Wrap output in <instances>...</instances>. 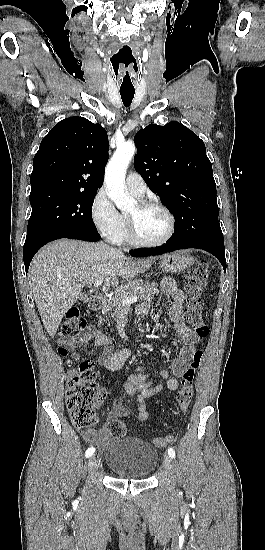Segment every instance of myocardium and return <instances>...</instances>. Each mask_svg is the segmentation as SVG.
Segmentation results:
<instances>
[{
    "label": "myocardium",
    "mask_w": 265,
    "mask_h": 550,
    "mask_svg": "<svg viewBox=\"0 0 265 550\" xmlns=\"http://www.w3.org/2000/svg\"><path fill=\"white\" fill-rule=\"evenodd\" d=\"M137 206L139 210H147L151 208L161 210L167 216L169 225H168V231L162 239L157 241H145L138 236L134 217L131 215H128L127 216L128 232H129V238L131 243L137 247H144V248L159 247L166 244L173 237L176 229V220L173 213L170 211V209L157 201H148V200L140 201L137 204Z\"/></svg>",
    "instance_id": "myocardium-1"
}]
</instances>
